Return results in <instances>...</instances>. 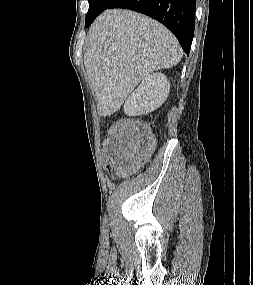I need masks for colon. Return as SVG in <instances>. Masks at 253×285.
I'll use <instances>...</instances> for the list:
<instances>
[{
  "instance_id": "colon-1",
  "label": "colon",
  "mask_w": 253,
  "mask_h": 285,
  "mask_svg": "<svg viewBox=\"0 0 253 285\" xmlns=\"http://www.w3.org/2000/svg\"><path fill=\"white\" fill-rule=\"evenodd\" d=\"M103 145H107L108 141L107 140H103L102 141ZM111 157V149L109 146H106L105 149H103V158H105L102 161V164L104 165V167L101 168L102 172H113V160Z\"/></svg>"
}]
</instances>
